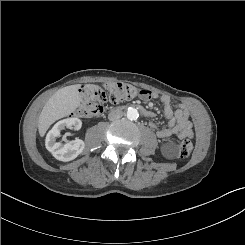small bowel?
I'll list each match as a JSON object with an SVG mask.
<instances>
[{
	"label": "small bowel",
	"instance_id": "c3829d8e",
	"mask_svg": "<svg viewBox=\"0 0 245 245\" xmlns=\"http://www.w3.org/2000/svg\"><path fill=\"white\" fill-rule=\"evenodd\" d=\"M143 100L160 98L164 105V114L168 120V124L164 128H158L155 122H151L150 126L156 129L157 137L160 139L168 138L172 135L178 136L180 139H190L194 136L193 125L189 118V112L182 104L173 106L168 95L159 96L155 92L146 91V94L140 96ZM153 117V114L152 116Z\"/></svg>",
	"mask_w": 245,
	"mask_h": 245
}]
</instances>
